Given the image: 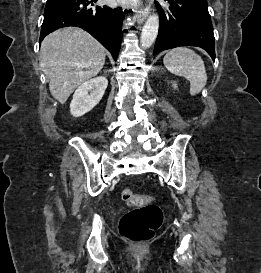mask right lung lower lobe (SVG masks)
I'll list each match as a JSON object with an SVG mask.
<instances>
[{"label": "right lung lower lobe", "instance_id": "obj_1", "mask_svg": "<svg viewBox=\"0 0 261 273\" xmlns=\"http://www.w3.org/2000/svg\"><path fill=\"white\" fill-rule=\"evenodd\" d=\"M97 0H47L40 41L56 29L77 26L95 37L110 51L117 60L121 46L122 21L121 9L95 6Z\"/></svg>", "mask_w": 261, "mask_h": 273}]
</instances>
